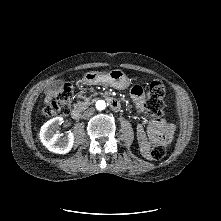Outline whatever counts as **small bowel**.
I'll list each match as a JSON object with an SVG mask.
<instances>
[{"label": "small bowel", "instance_id": "obj_1", "mask_svg": "<svg viewBox=\"0 0 221 221\" xmlns=\"http://www.w3.org/2000/svg\"><path fill=\"white\" fill-rule=\"evenodd\" d=\"M131 98L136 109L144 118V122L137 127V139L142 154L149 157L150 144L169 142L174 132V125L161 117L149 119L142 87L134 86L131 89Z\"/></svg>", "mask_w": 221, "mask_h": 221}]
</instances>
